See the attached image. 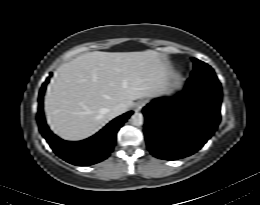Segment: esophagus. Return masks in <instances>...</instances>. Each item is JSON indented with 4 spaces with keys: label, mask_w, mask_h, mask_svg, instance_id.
<instances>
[{
    "label": "esophagus",
    "mask_w": 260,
    "mask_h": 205,
    "mask_svg": "<svg viewBox=\"0 0 260 205\" xmlns=\"http://www.w3.org/2000/svg\"><path fill=\"white\" fill-rule=\"evenodd\" d=\"M146 105V102L144 100H140L135 103V111H140L144 106Z\"/></svg>",
    "instance_id": "esophagus-1"
}]
</instances>
